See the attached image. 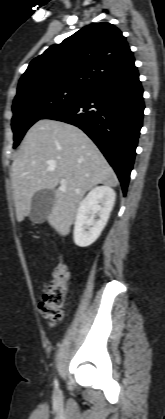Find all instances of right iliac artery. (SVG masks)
<instances>
[{
    "label": "right iliac artery",
    "instance_id": "obj_1",
    "mask_svg": "<svg viewBox=\"0 0 165 419\" xmlns=\"http://www.w3.org/2000/svg\"><path fill=\"white\" fill-rule=\"evenodd\" d=\"M54 383H55V387L57 388L58 386L57 380H55Z\"/></svg>",
    "mask_w": 165,
    "mask_h": 419
}]
</instances>
